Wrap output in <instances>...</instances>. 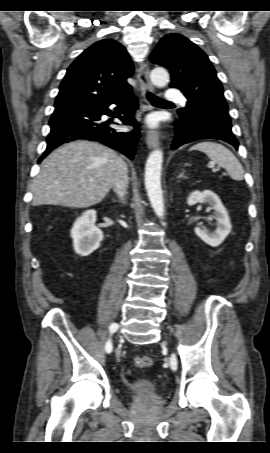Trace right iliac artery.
<instances>
[{"instance_id":"right-iliac-artery-1","label":"right iliac artery","mask_w":270,"mask_h":453,"mask_svg":"<svg viewBox=\"0 0 270 453\" xmlns=\"http://www.w3.org/2000/svg\"><path fill=\"white\" fill-rule=\"evenodd\" d=\"M117 329H118V324H116V323L111 324V326L109 328L111 334L114 333ZM105 349H106L107 353L112 352L113 346H112V343L110 340L107 341Z\"/></svg>"}]
</instances>
